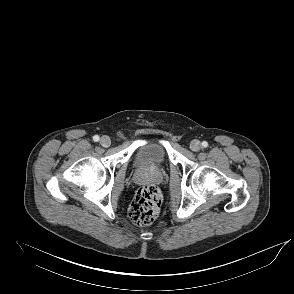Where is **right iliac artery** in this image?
I'll return each instance as SVG.
<instances>
[{
  "label": "right iliac artery",
  "mask_w": 294,
  "mask_h": 294,
  "mask_svg": "<svg viewBox=\"0 0 294 294\" xmlns=\"http://www.w3.org/2000/svg\"><path fill=\"white\" fill-rule=\"evenodd\" d=\"M93 140H94L95 142L99 141V136H98V135H95V136L93 137Z\"/></svg>",
  "instance_id": "82829eb1"
}]
</instances>
